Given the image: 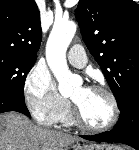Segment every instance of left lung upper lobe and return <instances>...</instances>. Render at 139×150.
<instances>
[{"instance_id": "5c2ea615", "label": "left lung upper lobe", "mask_w": 139, "mask_h": 150, "mask_svg": "<svg viewBox=\"0 0 139 150\" xmlns=\"http://www.w3.org/2000/svg\"><path fill=\"white\" fill-rule=\"evenodd\" d=\"M75 14L119 107L139 86V5L133 0H79Z\"/></svg>"}]
</instances>
